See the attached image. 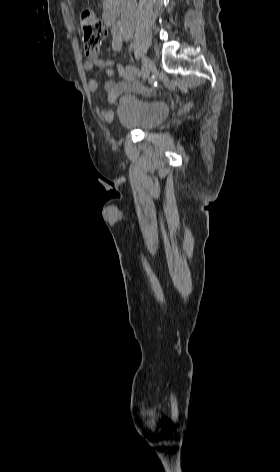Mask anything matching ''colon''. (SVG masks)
<instances>
[{"label": "colon", "mask_w": 280, "mask_h": 472, "mask_svg": "<svg viewBox=\"0 0 280 472\" xmlns=\"http://www.w3.org/2000/svg\"><path fill=\"white\" fill-rule=\"evenodd\" d=\"M79 19L83 31L84 52L88 57H94L97 55L102 41L107 37V28L88 8L80 10Z\"/></svg>", "instance_id": "1"}]
</instances>
